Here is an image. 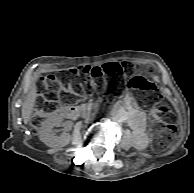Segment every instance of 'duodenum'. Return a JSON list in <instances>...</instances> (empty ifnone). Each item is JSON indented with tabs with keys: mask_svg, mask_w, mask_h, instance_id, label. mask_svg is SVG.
Returning a JSON list of instances; mask_svg holds the SVG:
<instances>
[{
	"mask_svg": "<svg viewBox=\"0 0 194 193\" xmlns=\"http://www.w3.org/2000/svg\"><path fill=\"white\" fill-rule=\"evenodd\" d=\"M79 108L75 105L67 106L63 109L62 114L65 118L72 119L79 115Z\"/></svg>",
	"mask_w": 194,
	"mask_h": 193,
	"instance_id": "410a0bca",
	"label": "duodenum"
}]
</instances>
